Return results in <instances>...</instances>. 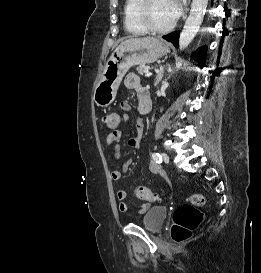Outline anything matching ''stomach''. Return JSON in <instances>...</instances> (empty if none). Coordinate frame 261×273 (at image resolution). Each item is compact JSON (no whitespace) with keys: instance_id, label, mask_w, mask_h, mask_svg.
<instances>
[{"instance_id":"obj_1","label":"stomach","mask_w":261,"mask_h":273,"mask_svg":"<svg viewBox=\"0 0 261 273\" xmlns=\"http://www.w3.org/2000/svg\"><path fill=\"white\" fill-rule=\"evenodd\" d=\"M169 51L167 43L153 37L121 43L107 60L102 78L95 85L93 99L96 105L107 107L115 100L118 87L132 66L153 63Z\"/></svg>"}]
</instances>
